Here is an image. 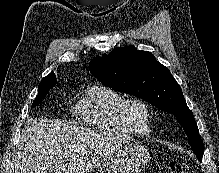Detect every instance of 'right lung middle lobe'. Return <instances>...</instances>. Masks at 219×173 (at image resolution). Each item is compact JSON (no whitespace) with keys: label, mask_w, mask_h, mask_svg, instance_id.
<instances>
[{"label":"right lung middle lobe","mask_w":219,"mask_h":173,"mask_svg":"<svg viewBox=\"0 0 219 173\" xmlns=\"http://www.w3.org/2000/svg\"><path fill=\"white\" fill-rule=\"evenodd\" d=\"M55 79L56 78L54 77H46L41 80V83L38 87V95L36 96L31 108L38 105L41 102L42 98L46 96L49 89L56 85L57 82H55Z\"/></svg>","instance_id":"obj_1"}]
</instances>
